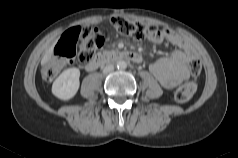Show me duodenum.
<instances>
[{"instance_id": "410a0bca", "label": "duodenum", "mask_w": 238, "mask_h": 158, "mask_svg": "<svg viewBox=\"0 0 238 158\" xmlns=\"http://www.w3.org/2000/svg\"><path fill=\"white\" fill-rule=\"evenodd\" d=\"M117 61H131L133 63H141L142 57L140 54L135 52H125V51H106L101 52L96 55L87 65L86 69L88 71L96 70L99 66Z\"/></svg>"}]
</instances>
